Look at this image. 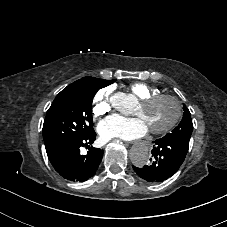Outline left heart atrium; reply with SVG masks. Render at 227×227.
<instances>
[{
	"instance_id": "1",
	"label": "left heart atrium",
	"mask_w": 227,
	"mask_h": 227,
	"mask_svg": "<svg viewBox=\"0 0 227 227\" xmlns=\"http://www.w3.org/2000/svg\"><path fill=\"white\" fill-rule=\"evenodd\" d=\"M97 131L104 140L112 138L134 140L145 136L148 127L139 117L125 119L120 116H112L102 120L98 124Z\"/></svg>"
}]
</instances>
